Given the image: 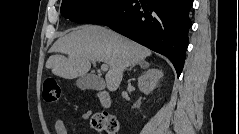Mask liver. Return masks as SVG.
Here are the masks:
<instances>
[{"label":"liver","instance_id":"6515ba94","mask_svg":"<svg viewBox=\"0 0 239 134\" xmlns=\"http://www.w3.org/2000/svg\"><path fill=\"white\" fill-rule=\"evenodd\" d=\"M51 51L68 56L52 55L46 62V68L65 79L86 75L91 68V61L109 65L105 80L110 91L117 90L127 67L143 62L152 54L148 48L110 29L95 25L75 28L59 38Z\"/></svg>","mask_w":239,"mask_h":134}]
</instances>
